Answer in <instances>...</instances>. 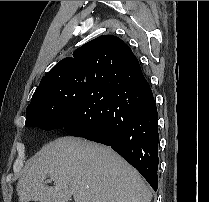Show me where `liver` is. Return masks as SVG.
Returning a JSON list of instances; mask_svg holds the SVG:
<instances>
[{"label": "liver", "mask_w": 209, "mask_h": 202, "mask_svg": "<svg viewBox=\"0 0 209 202\" xmlns=\"http://www.w3.org/2000/svg\"><path fill=\"white\" fill-rule=\"evenodd\" d=\"M54 181L48 187L46 178ZM20 202H151L140 174L111 148L61 137L30 159L17 183Z\"/></svg>", "instance_id": "6515ba94"}]
</instances>
